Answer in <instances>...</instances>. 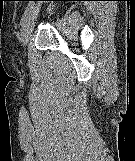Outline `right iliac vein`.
Returning a JSON list of instances; mask_svg holds the SVG:
<instances>
[{"label": "right iliac vein", "mask_w": 135, "mask_h": 161, "mask_svg": "<svg viewBox=\"0 0 135 161\" xmlns=\"http://www.w3.org/2000/svg\"><path fill=\"white\" fill-rule=\"evenodd\" d=\"M38 11H39V7L35 8V11L33 13V17H30L27 20V22L22 30V45L24 47L27 45V43L31 37V33L33 31V26H34L33 20H34L35 15H37Z\"/></svg>", "instance_id": "1"}]
</instances>
